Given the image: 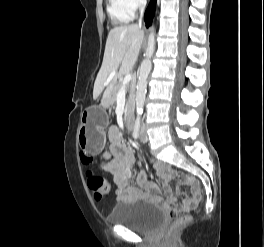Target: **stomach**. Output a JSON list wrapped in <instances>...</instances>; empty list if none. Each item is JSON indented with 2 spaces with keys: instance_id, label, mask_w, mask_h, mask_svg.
<instances>
[{
  "instance_id": "obj_1",
  "label": "stomach",
  "mask_w": 264,
  "mask_h": 247,
  "mask_svg": "<svg viewBox=\"0 0 264 247\" xmlns=\"http://www.w3.org/2000/svg\"><path fill=\"white\" fill-rule=\"evenodd\" d=\"M106 122L107 116L104 109H98L96 114L88 112L78 131L80 148L90 153H98L105 143Z\"/></svg>"
}]
</instances>
